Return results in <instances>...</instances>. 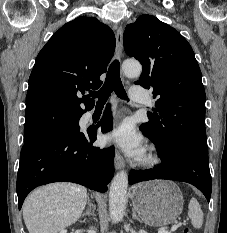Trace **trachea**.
I'll list each match as a JSON object with an SVG mask.
<instances>
[{
	"label": "trachea",
	"instance_id": "obj_1",
	"mask_svg": "<svg viewBox=\"0 0 227 233\" xmlns=\"http://www.w3.org/2000/svg\"><path fill=\"white\" fill-rule=\"evenodd\" d=\"M113 91L119 98L128 100L120 79V63L118 60H114L111 63L101 89L97 92L90 93V96L98 99L97 106H104Z\"/></svg>",
	"mask_w": 227,
	"mask_h": 233
}]
</instances>
